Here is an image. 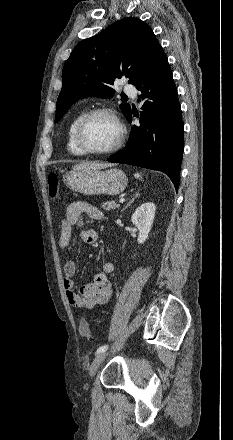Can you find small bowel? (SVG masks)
<instances>
[{"label":"small bowel","mask_w":233,"mask_h":440,"mask_svg":"<svg viewBox=\"0 0 233 440\" xmlns=\"http://www.w3.org/2000/svg\"><path fill=\"white\" fill-rule=\"evenodd\" d=\"M103 220V213L92 204L85 201H77L68 205L66 216L61 221V233L59 237L60 248L68 247L71 234L74 230L80 232L81 240L86 244H95L98 241V232L94 229H83L84 218ZM114 271V264L106 261L101 270L93 277L92 282L83 285L78 292L74 291V275L76 264L69 260L63 268V285L69 304L75 308L92 309L105 304L112 293L108 275Z\"/></svg>","instance_id":"small-bowel-1"}]
</instances>
